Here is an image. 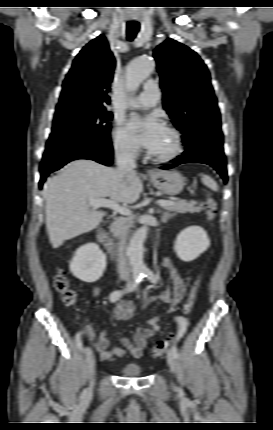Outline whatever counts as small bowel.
Instances as JSON below:
<instances>
[{
  "mask_svg": "<svg viewBox=\"0 0 273 430\" xmlns=\"http://www.w3.org/2000/svg\"><path fill=\"white\" fill-rule=\"evenodd\" d=\"M159 264L161 267L168 270V287L163 294L155 297L153 301L169 304V311L172 313L174 312V307L180 303L184 297V282L170 258L166 257L162 259ZM100 291L101 288L97 286L94 289V294L97 296L99 295ZM135 310L136 307L133 303L121 300L117 302L112 314L116 320H127L134 315ZM177 319L179 324L185 325V319L183 317L178 316ZM145 323L146 326H139L136 328L132 339H129L125 336H121L119 338V341L124 346V349L115 346L107 337L106 333L102 332L96 342V349L101 359L108 360L114 356L124 357L126 355H130L133 358L141 357L145 348L147 347L148 340L161 330L158 316L147 319Z\"/></svg>",
  "mask_w": 273,
  "mask_h": 430,
  "instance_id": "1",
  "label": "small bowel"
}]
</instances>
